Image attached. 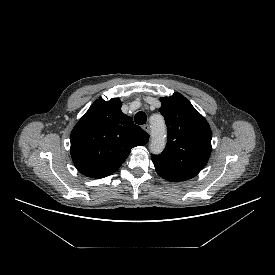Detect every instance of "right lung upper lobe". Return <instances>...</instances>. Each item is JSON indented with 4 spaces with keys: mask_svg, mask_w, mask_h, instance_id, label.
Instances as JSON below:
<instances>
[{
    "mask_svg": "<svg viewBox=\"0 0 275 275\" xmlns=\"http://www.w3.org/2000/svg\"><path fill=\"white\" fill-rule=\"evenodd\" d=\"M118 98L96 100L71 132L70 153L83 175L104 178L117 171L131 148L145 145L149 135L121 111Z\"/></svg>",
    "mask_w": 275,
    "mask_h": 275,
    "instance_id": "right-lung-upper-lobe-1",
    "label": "right lung upper lobe"
}]
</instances>
